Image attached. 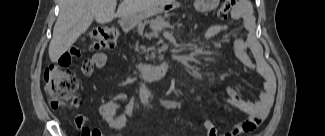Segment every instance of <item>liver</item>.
<instances>
[{"mask_svg":"<svg viewBox=\"0 0 325 136\" xmlns=\"http://www.w3.org/2000/svg\"><path fill=\"white\" fill-rule=\"evenodd\" d=\"M170 0H60V12L49 44V57L56 62L87 31L95 19L109 23L117 17L135 18Z\"/></svg>","mask_w":325,"mask_h":136,"instance_id":"liver-1","label":"liver"}]
</instances>
